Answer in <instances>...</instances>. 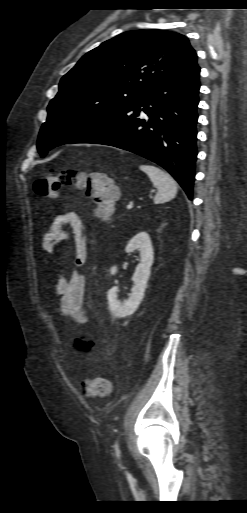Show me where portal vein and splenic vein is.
I'll return each mask as SVG.
<instances>
[{"instance_id": "portal-vein-and-splenic-vein-1", "label": "portal vein and splenic vein", "mask_w": 247, "mask_h": 513, "mask_svg": "<svg viewBox=\"0 0 247 513\" xmlns=\"http://www.w3.org/2000/svg\"><path fill=\"white\" fill-rule=\"evenodd\" d=\"M126 208H127V210H131V209L133 208V205H132V204H129V205H127V207H126Z\"/></svg>"}]
</instances>
